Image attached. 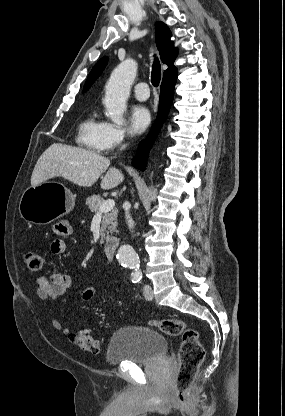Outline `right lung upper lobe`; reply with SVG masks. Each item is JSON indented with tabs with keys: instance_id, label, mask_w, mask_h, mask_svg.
I'll list each match as a JSON object with an SVG mask.
<instances>
[{
	"instance_id": "obj_1",
	"label": "right lung upper lobe",
	"mask_w": 285,
	"mask_h": 416,
	"mask_svg": "<svg viewBox=\"0 0 285 416\" xmlns=\"http://www.w3.org/2000/svg\"><path fill=\"white\" fill-rule=\"evenodd\" d=\"M155 30V41L160 58L163 63L168 65V69L164 71L163 75V80H165L177 75L176 67L174 66L177 50L174 48V43L170 40L171 32L166 24L161 21L156 22ZM106 64L107 57H103L96 63L85 82L83 93L86 92L99 77Z\"/></svg>"
}]
</instances>
